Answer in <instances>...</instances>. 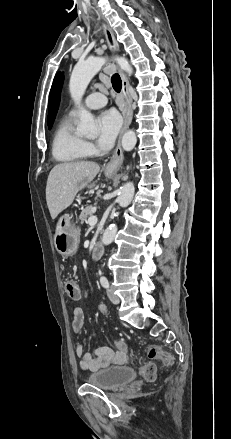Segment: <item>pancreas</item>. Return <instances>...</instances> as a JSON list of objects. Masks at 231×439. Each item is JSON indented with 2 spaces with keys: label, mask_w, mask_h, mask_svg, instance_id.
<instances>
[{
  "label": "pancreas",
  "mask_w": 231,
  "mask_h": 439,
  "mask_svg": "<svg viewBox=\"0 0 231 439\" xmlns=\"http://www.w3.org/2000/svg\"><path fill=\"white\" fill-rule=\"evenodd\" d=\"M94 214V209L92 206H87L85 209L82 210L79 219L81 220V223L87 222V219Z\"/></svg>",
  "instance_id": "obj_1"
}]
</instances>
